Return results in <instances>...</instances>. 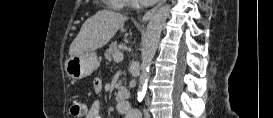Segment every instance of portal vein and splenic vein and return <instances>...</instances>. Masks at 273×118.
<instances>
[{"mask_svg":"<svg viewBox=\"0 0 273 118\" xmlns=\"http://www.w3.org/2000/svg\"><path fill=\"white\" fill-rule=\"evenodd\" d=\"M124 58V55L122 52H117L113 55V59L115 62H121Z\"/></svg>","mask_w":273,"mask_h":118,"instance_id":"obj_1","label":"portal vein and splenic vein"}]
</instances>
